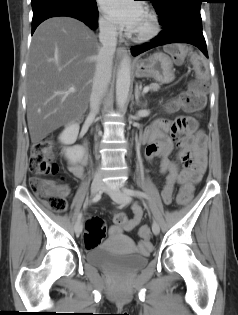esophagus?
<instances>
[{"instance_id": "1", "label": "esophagus", "mask_w": 238, "mask_h": 315, "mask_svg": "<svg viewBox=\"0 0 238 315\" xmlns=\"http://www.w3.org/2000/svg\"><path fill=\"white\" fill-rule=\"evenodd\" d=\"M126 53H127V51H126V48H125V47L119 46V47L117 48V51H116L117 57L121 58V57L125 56Z\"/></svg>"}]
</instances>
